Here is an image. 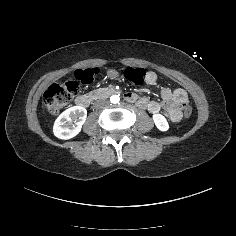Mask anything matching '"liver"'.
<instances>
[{"label":"liver","mask_w":236,"mask_h":236,"mask_svg":"<svg viewBox=\"0 0 236 236\" xmlns=\"http://www.w3.org/2000/svg\"><path fill=\"white\" fill-rule=\"evenodd\" d=\"M43 108H44V111H46V109H45V107L43 106Z\"/></svg>","instance_id":"1"}]
</instances>
